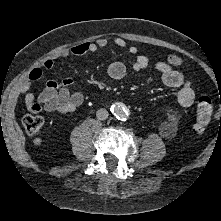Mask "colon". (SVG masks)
Listing matches in <instances>:
<instances>
[{
	"label": "colon",
	"instance_id": "colon-1",
	"mask_svg": "<svg viewBox=\"0 0 221 221\" xmlns=\"http://www.w3.org/2000/svg\"><path fill=\"white\" fill-rule=\"evenodd\" d=\"M167 63L170 67H179L181 65L180 59L171 55L167 59ZM213 113V104L209 96H201L197 103L196 118L194 123V129L196 132H204L211 121ZM23 127L28 135L33 137V142L35 145L40 146L43 143V128L44 121L42 117L35 114H27L23 118Z\"/></svg>",
	"mask_w": 221,
	"mask_h": 221
}]
</instances>
